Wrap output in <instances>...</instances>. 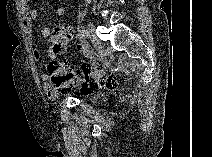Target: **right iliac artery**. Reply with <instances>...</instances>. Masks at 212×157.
Returning <instances> with one entry per match:
<instances>
[{
    "mask_svg": "<svg viewBox=\"0 0 212 157\" xmlns=\"http://www.w3.org/2000/svg\"><path fill=\"white\" fill-rule=\"evenodd\" d=\"M77 35L79 39H86L90 37L87 30H79Z\"/></svg>",
    "mask_w": 212,
    "mask_h": 157,
    "instance_id": "82829eb1",
    "label": "right iliac artery"
}]
</instances>
